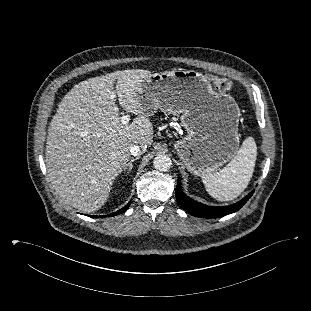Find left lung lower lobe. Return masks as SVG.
<instances>
[{
	"instance_id": "left-lung-lower-lobe-1",
	"label": "left lung lower lobe",
	"mask_w": 311,
	"mask_h": 311,
	"mask_svg": "<svg viewBox=\"0 0 311 311\" xmlns=\"http://www.w3.org/2000/svg\"><path fill=\"white\" fill-rule=\"evenodd\" d=\"M253 192L254 191L250 192L246 197L233 205L224 207H209L187 197L183 193L181 188V181L178 179L176 187V199L180 206L193 216L202 218H217L238 211L253 195Z\"/></svg>"
}]
</instances>
